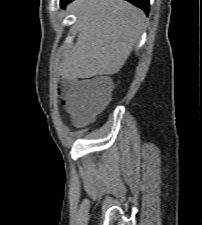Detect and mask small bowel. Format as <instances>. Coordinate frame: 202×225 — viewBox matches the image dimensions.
I'll use <instances>...</instances> for the list:
<instances>
[{
    "label": "small bowel",
    "mask_w": 202,
    "mask_h": 225,
    "mask_svg": "<svg viewBox=\"0 0 202 225\" xmlns=\"http://www.w3.org/2000/svg\"><path fill=\"white\" fill-rule=\"evenodd\" d=\"M102 83L114 86L115 82L112 78L108 76L98 77ZM66 108L71 115L72 122L75 125H80L91 113L90 109L87 107L86 98L83 95L75 92L73 97L67 101Z\"/></svg>",
    "instance_id": "small-bowel-1"
}]
</instances>
